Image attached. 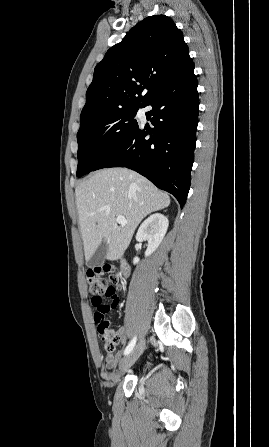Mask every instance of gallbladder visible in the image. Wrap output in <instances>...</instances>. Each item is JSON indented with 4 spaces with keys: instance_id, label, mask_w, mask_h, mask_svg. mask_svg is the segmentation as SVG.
I'll return each instance as SVG.
<instances>
[{
    "instance_id": "bac80fb5",
    "label": "gallbladder",
    "mask_w": 269,
    "mask_h": 447,
    "mask_svg": "<svg viewBox=\"0 0 269 447\" xmlns=\"http://www.w3.org/2000/svg\"><path fill=\"white\" fill-rule=\"evenodd\" d=\"M107 251L108 243H106V241H101L94 255H92L91 259L87 261L88 267H98V265H102L106 259Z\"/></svg>"
}]
</instances>
